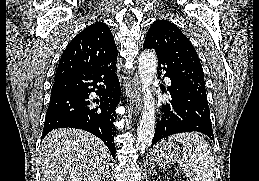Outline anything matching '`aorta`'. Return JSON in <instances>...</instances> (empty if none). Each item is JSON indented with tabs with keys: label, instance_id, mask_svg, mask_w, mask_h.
I'll return each mask as SVG.
<instances>
[{
	"label": "aorta",
	"instance_id": "1",
	"mask_svg": "<svg viewBox=\"0 0 259 181\" xmlns=\"http://www.w3.org/2000/svg\"><path fill=\"white\" fill-rule=\"evenodd\" d=\"M138 62L143 91V110L137 130L136 147L140 153H144L152 143L156 127L155 99L150 88L157 71V59L154 52L143 51Z\"/></svg>",
	"mask_w": 259,
	"mask_h": 181
}]
</instances>
